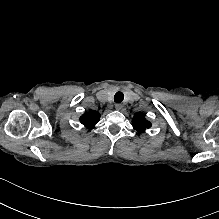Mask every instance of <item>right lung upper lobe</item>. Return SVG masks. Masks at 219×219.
Instances as JSON below:
<instances>
[{
	"mask_svg": "<svg viewBox=\"0 0 219 219\" xmlns=\"http://www.w3.org/2000/svg\"><path fill=\"white\" fill-rule=\"evenodd\" d=\"M99 119L100 114L96 111L91 110L89 112L84 113L81 116L80 121L87 127H93L99 121Z\"/></svg>",
	"mask_w": 219,
	"mask_h": 219,
	"instance_id": "cb5924a9",
	"label": "right lung upper lobe"
}]
</instances>
